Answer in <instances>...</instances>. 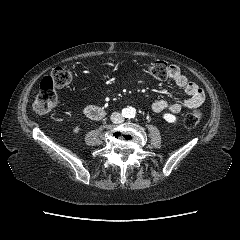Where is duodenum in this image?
<instances>
[{
	"label": "duodenum",
	"instance_id": "410a0bca",
	"mask_svg": "<svg viewBox=\"0 0 240 240\" xmlns=\"http://www.w3.org/2000/svg\"><path fill=\"white\" fill-rule=\"evenodd\" d=\"M87 117L91 119H101L105 115V111L97 106H87L84 110Z\"/></svg>",
	"mask_w": 240,
	"mask_h": 240
}]
</instances>
